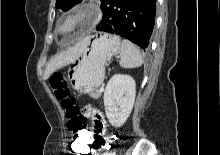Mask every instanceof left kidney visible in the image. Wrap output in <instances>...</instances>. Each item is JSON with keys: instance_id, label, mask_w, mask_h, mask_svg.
I'll list each match as a JSON object with an SVG mask.
<instances>
[{"instance_id": "5707ae66", "label": "left kidney", "mask_w": 220, "mask_h": 155, "mask_svg": "<svg viewBox=\"0 0 220 155\" xmlns=\"http://www.w3.org/2000/svg\"><path fill=\"white\" fill-rule=\"evenodd\" d=\"M136 96L134 79L125 74H115L104 91L107 119L113 127H121L129 117Z\"/></svg>"}]
</instances>
